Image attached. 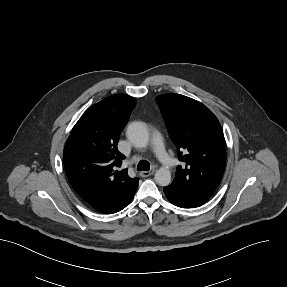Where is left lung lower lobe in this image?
I'll list each match as a JSON object with an SVG mask.
<instances>
[{"mask_svg":"<svg viewBox=\"0 0 287 287\" xmlns=\"http://www.w3.org/2000/svg\"><path fill=\"white\" fill-rule=\"evenodd\" d=\"M164 193L172 204L181 208L199 207L209 199L188 189L172 185L164 187Z\"/></svg>","mask_w":287,"mask_h":287,"instance_id":"left-lung-lower-lobe-1","label":"left lung lower lobe"}]
</instances>
